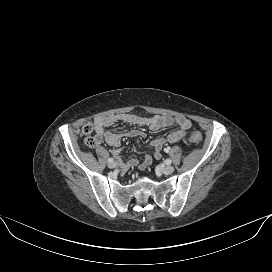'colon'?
Instances as JSON below:
<instances>
[{
  "label": "colon",
  "instance_id": "colon-1",
  "mask_svg": "<svg viewBox=\"0 0 272 272\" xmlns=\"http://www.w3.org/2000/svg\"><path fill=\"white\" fill-rule=\"evenodd\" d=\"M93 133V124L87 122L82 127V134L84 135V143L88 147H94L96 145L95 137L92 136ZM190 142L194 144H199L202 141V135L198 132H194L189 137Z\"/></svg>",
  "mask_w": 272,
  "mask_h": 272
}]
</instances>
